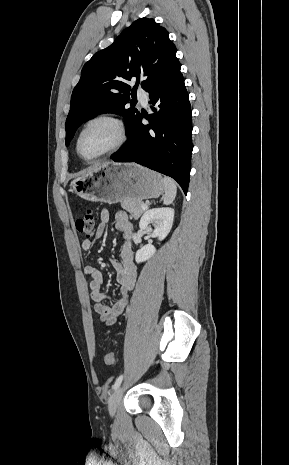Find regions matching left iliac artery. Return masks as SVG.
I'll return each mask as SVG.
<instances>
[{
	"label": "left iliac artery",
	"instance_id": "obj_1",
	"mask_svg": "<svg viewBox=\"0 0 289 465\" xmlns=\"http://www.w3.org/2000/svg\"><path fill=\"white\" fill-rule=\"evenodd\" d=\"M122 380H123V375H120L115 381V383L113 384L112 389L116 390L120 386Z\"/></svg>",
	"mask_w": 289,
	"mask_h": 465
}]
</instances>
